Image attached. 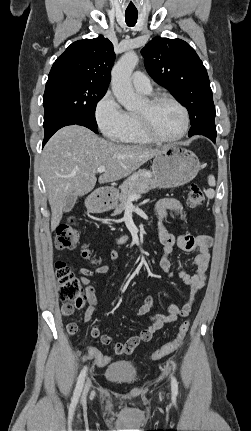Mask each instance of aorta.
I'll list each match as a JSON object with an SVG mask.
<instances>
[{"instance_id":"aorta-1","label":"aorta","mask_w":251,"mask_h":431,"mask_svg":"<svg viewBox=\"0 0 251 431\" xmlns=\"http://www.w3.org/2000/svg\"><path fill=\"white\" fill-rule=\"evenodd\" d=\"M137 63V54L134 51H128L122 55L111 72L112 91L118 102L127 110H134L141 103L131 83V74Z\"/></svg>"}]
</instances>
